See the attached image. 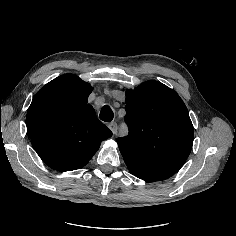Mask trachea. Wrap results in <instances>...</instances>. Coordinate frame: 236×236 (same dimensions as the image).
Masks as SVG:
<instances>
[{"label":"trachea","mask_w":236,"mask_h":236,"mask_svg":"<svg viewBox=\"0 0 236 236\" xmlns=\"http://www.w3.org/2000/svg\"><path fill=\"white\" fill-rule=\"evenodd\" d=\"M113 111L107 105L103 106L100 111V119L105 122H110L113 119Z\"/></svg>","instance_id":"obj_1"}]
</instances>
